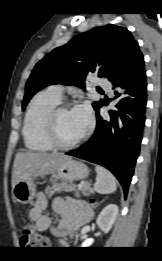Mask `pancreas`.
<instances>
[{"instance_id": "1", "label": "pancreas", "mask_w": 162, "mask_h": 261, "mask_svg": "<svg viewBox=\"0 0 162 261\" xmlns=\"http://www.w3.org/2000/svg\"><path fill=\"white\" fill-rule=\"evenodd\" d=\"M72 192L77 191L81 192L83 195H88L89 192H93L90 184L88 182H84L81 188H76V185H70L66 182L62 183H54L51 187L46 188V194L48 197H51L54 193L58 192Z\"/></svg>"}]
</instances>
